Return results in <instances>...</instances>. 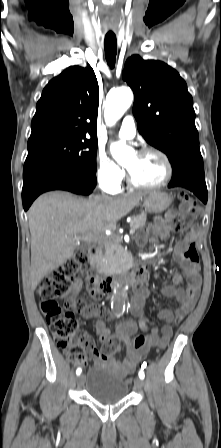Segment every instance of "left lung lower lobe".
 I'll return each mask as SVG.
<instances>
[{
	"mask_svg": "<svg viewBox=\"0 0 221 448\" xmlns=\"http://www.w3.org/2000/svg\"><path fill=\"white\" fill-rule=\"evenodd\" d=\"M172 169V179L168 185L169 188L184 187L192 191L204 203L207 202L208 192L202 156L189 158L188 161Z\"/></svg>",
	"mask_w": 221,
	"mask_h": 448,
	"instance_id": "obj_1",
	"label": "left lung lower lobe"
}]
</instances>
